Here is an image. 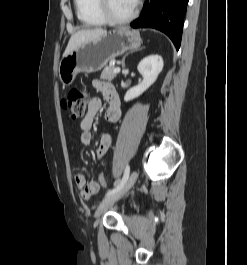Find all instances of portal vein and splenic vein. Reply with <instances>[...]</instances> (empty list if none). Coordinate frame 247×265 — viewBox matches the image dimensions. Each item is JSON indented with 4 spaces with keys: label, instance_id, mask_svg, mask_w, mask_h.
I'll use <instances>...</instances> for the list:
<instances>
[{
    "label": "portal vein and splenic vein",
    "instance_id": "1",
    "mask_svg": "<svg viewBox=\"0 0 247 265\" xmlns=\"http://www.w3.org/2000/svg\"><path fill=\"white\" fill-rule=\"evenodd\" d=\"M119 72H120V67H115L114 73L116 74V73H119Z\"/></svg>",
    "mask_w": 247,
    "mask_h": 265
}]
</instances>
